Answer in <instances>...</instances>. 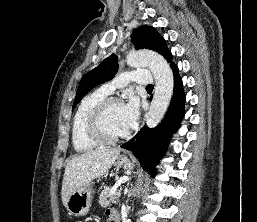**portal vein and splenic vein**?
<instances>
[{
    "instance_id": "obj_1",
    "label": "portal vein and splenic vein",
    "mask_w": 257,
    "mask_h": 222,
    "mask_svg": "<svg viewBox=\"0 0 257 222\" xmlns=\"http://www.w3.org/2000/svg\"><path fill=\"white\" fill-rule=\"evenodd\" d=\"M128 180L127 177H124L122 179H120L113 187V190L111 191V194H114L118 188V186L122 183V182H126Z\"/></svg>"
}]
</instances>
